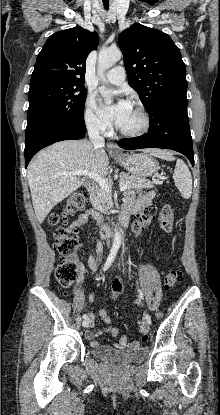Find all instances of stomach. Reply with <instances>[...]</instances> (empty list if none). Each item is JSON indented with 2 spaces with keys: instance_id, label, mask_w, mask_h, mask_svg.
<instances>
[{
  "instance_id": "0dacf381",
  "label": "stomach",
  "mask_w": 220,
  "mask_h": 415,
  "mask_svg": "<svg viewBox=\"0 0 220 415\" xmlns=\"http://www.w3.org/2000/svg\"><path fill=\"white\" fill-rule=\"evenodd\" d=\"M115 159L132 175L141 178L151 176L159 169L158 162L146 153L123 154Z\"/></svg>"
}]
</instances>
